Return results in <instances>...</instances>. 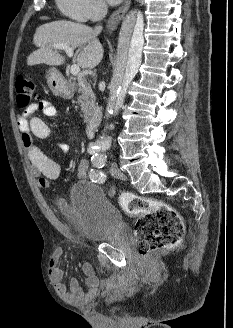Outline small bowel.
Returning <instances> with one entry per match:
<instances>
[{"mask_svg": "<svg viewBox=\"0 0 233 328\" xmlns=\"http://www.w3.org/2000/svg\"><path fill=\"white\" fill-rule=\"evenodd\" d=\"M37 111H41L46 117H55L57 110L55 106L47 100H41L30 104L24 111L18 115L17 124L21 133V139L26 149L29 161L32 165L33 175L36 178L37 185L41 188H47L50 182L56 179L60 174V165L49 158L35 143V138H48L52 131L50 127L38 116ZM88 161L82 159L77 169V177L83 179L87 175ZM63 251L55 250L49 260L48 270L50 278L54 284L58 295L68 303L82 304L91 301L98 288V279L91 264L84 263L82 272L85 277L86 290H84L75 278H72L69 285L63 283L64 271L61 267Z\"/></svg>", "mask_w": 233, "mask_h": 328, "instance_id": "obj_1", "label": "small bowel"}]
</instances>
